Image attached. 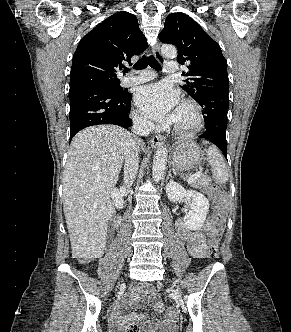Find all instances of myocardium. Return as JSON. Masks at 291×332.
Masks as SVG:
<instances>
[{"mask_svg":"<svg viewBox=\"0 0 291 332\" xmlns=\"http://www.w3.org/2000/svg\"><path fill=\"white\" fill-rule=\"evenodd\" d=\"M182 107L188 108L192 115V124L189 127H179L175 124L172 126V131L179 136H192L197 134L204 127V117L201 107L193 100L185 99L181 102Z\"/></svg>","mask_w":291,"mask_h":332,"instance_id":"1","label":"myocardium"}]
</instances>
